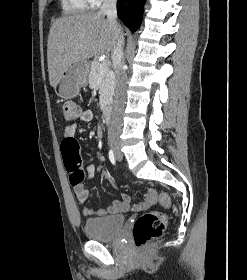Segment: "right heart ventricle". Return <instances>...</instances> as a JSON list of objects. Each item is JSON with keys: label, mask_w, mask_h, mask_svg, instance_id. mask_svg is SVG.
<instances>
[{"label": "right heart ventricle", "mask_w": 247, "mask_h": 280, "mask_svg": "<svg viewBox=\"0 0 247 280\" xmlns=\"http://www.w3.org/2000/svg\"><path fill=\"white\" fill-rule=\"evenodd\" d=\"M88 0H62V9L65 14H77L90 8Z\"/></svg>", "instance_id": "e07e8e85"}]
</instances>
